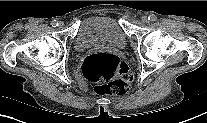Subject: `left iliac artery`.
Masks as SVG:
<instances>
[{
	"mask_svg": "<svg viewBox=\"0 0 207 123\" xmlns=\"http://www.w3.org/2000/svg\"><path fill=\"white\" fill-rule=\"evenodd\" d=\"M148 19H149L150 21H156V20H157V16H156L155 14H151V15L148 17Z\"/></svg>",
	"mask_w": 207,
	"mask_h": 123,
	"instance_id": "1",
	"label": "left iliac artery"
}]
</instances>
